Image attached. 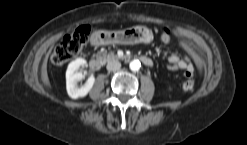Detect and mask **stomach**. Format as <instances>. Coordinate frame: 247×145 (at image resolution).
<instances>
[{"label":"stomach","mask_w":247,"mask_h":145,"mask_svg":"<svg viewBox=\"0 0 247 145\" xmlns=\"http://www.w3.org/2000/svg\"><path fill=\"white\" fill-rule=\"evenodd\" d=\"M104 35V44H136L150 43L153 33L147 27L133 26L119 31H101Z\"/></svg>","instance_id":"1"}]
</instances>
